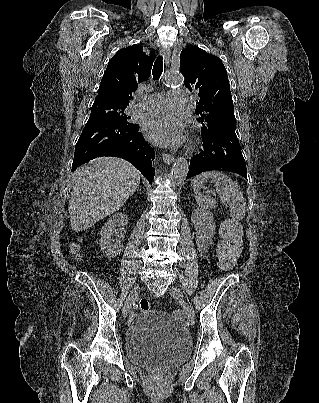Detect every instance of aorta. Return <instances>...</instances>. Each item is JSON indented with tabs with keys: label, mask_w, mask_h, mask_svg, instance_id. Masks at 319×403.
<instances>
[{
	"label": "aorta",
	"mask_w": 319,
	"mask_h": 403,
	"mask_svg": "<svg viewBox=\"0 0 319 403\" xmlns=\"http://www.w3.org/2000/svg\"><path fill=\"white\" fill-rule=\"evenodd\" d=\"M164 83L167 86L178 87L182 84V79L177 74L169 73L164 78ZM189 171V164L186 158L180 157L175 162L172 172H171V180L174 185L181 184L185 179Z\"/></svg>",
	"instance_id": "aorta-1"
}]
</instances>
